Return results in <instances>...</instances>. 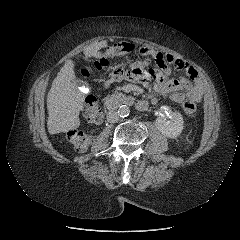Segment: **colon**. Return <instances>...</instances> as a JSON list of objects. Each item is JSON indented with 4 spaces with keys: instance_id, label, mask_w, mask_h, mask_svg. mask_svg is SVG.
Segmentation results:
<instances>
[{
    "instance_id": "colon-1",
    "label": "colon",
    "mask_w": 240,
    "mask_h": 240,
    "mask_svg": "<svg viewBox=\"0 0 240 240\" xmlns=\"http://www.w3.org/2000/svg\"><path fill=\"white\" fill-rule=\"evenodd\" d=\"M134 50V45L128 41H118L100 53V56L93 59L88 65L82 68L84 76H90L93 70H102L108 65V61L112 57L122 56L131 53ZM182 108L188 116H192L195 112L196 105L190 99H184ZM84 115L92 123H99L102 119V111L93 96H88L85 99ZM69 141L73 144L76 150L85 151L91 144L92 137L89 133L81 129H71L67 133Z\"/></svg>"
}]
</instances>
